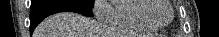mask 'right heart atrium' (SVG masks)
Segmentation results:
<instances>
[{
	"label": "right heart atrium",
	"instance_id": "d8ad5b80",
	"mask_svg": "<svg viewBox=\"0 0 219 37\" xmlns=\"http://www.w3.org/2000/svg\"><path fill=\"white\" fill-rule=\"evenodd\" d=\"M114 3V1L96 0L93 4V12L100 21L111 23L115 16Z\"/></svg>",
	"mask_w": 219,
	"mask_h": 37
}]
</instances>
